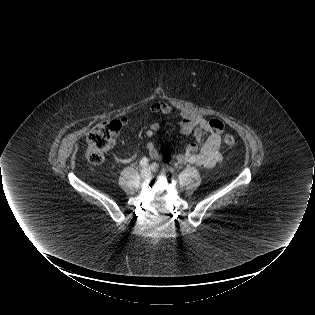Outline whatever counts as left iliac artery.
I'll return each instance as SVG.
<instances>
[{
	"mask_svg": "<svg viewBox=\"0 0 315 315\" xmlns=\"http://www.w3.org/2000/svg\"><path fill=\"white\" fill-rule=\"evenodd\" d=\"M154 166L157 167V164H154ZM165 169L169 170V171L172 172V173L174 172V168H172V167H169V166H166V167H165V166H164V167H163V170H165Z\"/></svg>",
	"mask_w": 315,
	"mask_h": 315,
	"instance_id": "left-iliac-artery-1",
	"label": "left iliac artery"
}]
</instances>
